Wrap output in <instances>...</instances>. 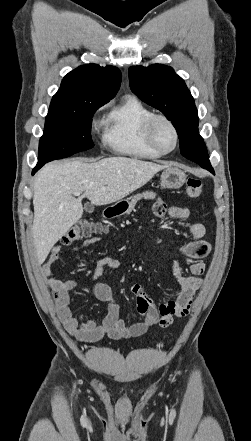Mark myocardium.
Returning a JSON list of instances; mask_svg holds the SVG:
<instances>
[{
    "instance_id": "myocardium-1",
    "label": "myocardium",
    "mask_w": 251,
    "mask_h": 441,
    "mask_svg": "<svg viewBox=\"0 0 251 441\" xmlns=\"http://www.w3.org/2000/svg\"><path fill=\"white\" fill-rule=\"evenodd\" d=\"M159 122L166 123L172 129V131L174 133L175 143L170 150L162 149L159 146V144L157 143L155 131H156V126ZM145 137H146V140H147V143L149 144V146L151 148H153L155 151H157L158 153H160L161 155H166V154L173 152L177 148V146L179 144V140H180L179 132H178L176 125L165 114H153L147 120L146 125H145Z\"/></svg>"
}]
</instances>
